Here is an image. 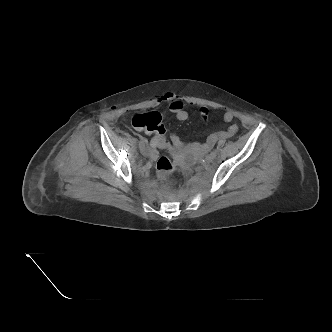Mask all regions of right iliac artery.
<instances>
[{
    "instance_id": "obj_1",
    "label": "right iliac artery",
    "mask_w": 332,
    "mask_h": 332,
    "mask_svg": "<svg viewBox=\"0 0 332 332\" xmlns=\"http://www.w3.org/2000/svg\"><path fill=\"white\" fill-rule=\"evenodd\" d=\"M140 142H142V143H146V140L143 138V137H140Z\"/></svg>"
}]
</instances>
